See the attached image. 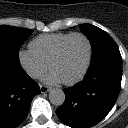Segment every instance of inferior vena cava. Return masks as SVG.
I'll use <instances>...</instances> for the list:
<instances>
[{"mask_svg":"<svg viewBox=\"0 0 128 128\" xmlns=\"http://www.w3.org/2000/svg\"><path fill=\"white\" fill-rule=\"evenodd\" d=\"M28 74L33 78H38L40 76V73L36 70H29Z\"/></svg>","mask_w":128,"mask_h":128,"instance_id":"1","label":"inferior vena cava"}]
</instances>
